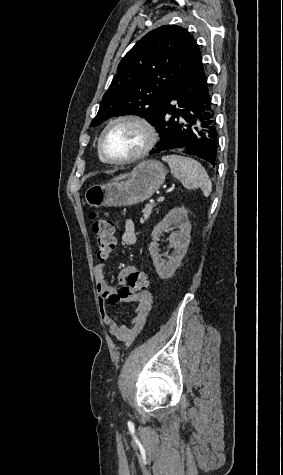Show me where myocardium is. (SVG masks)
I'll list each match as a JSON object with an SVG mask.
<instances>
[{
  "label": "myocardium",
  "instance_id": "f54148a6",
  "mask_svg": "<svg viewBox=\"0 0 283 475\" xmlns=\"http://www.w3.org/2000/svg\"><path fill=\"white\" fill-rule=\"evenodd\" d=\"M120 122H135V123L143 126L144 129L147 132V139H146V142L144 143V145L141 147V149L139 151H137L136 153H134L130 156L122 157V158H111V157L107 156L105 151H104L103 139H104V136L106 135V133L114 125H116ZM156 139H157L156 128L149 119H147L144 116L137 115V114H125V115H121V116H118V117L114 118L103 128V130L101 131V133L99 135V138H98L97 148H98V152H99L101 158L105 162L136 163V162H139L140 160H142L143 158H145L150 153V151L153 149V147L155 145Z\"/></svg>",
  "mask_w": 283,
  "mask_h": 475
}]
</instances>
